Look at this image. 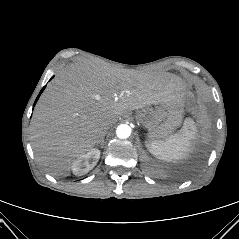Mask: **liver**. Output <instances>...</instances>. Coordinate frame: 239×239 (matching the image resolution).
Instances as JSON below:
<instances>
[{
	"label": "liver",
	"mask_w": 239,
	"mask_h": 239,
	"mask_svg": "<svg viewBox=\"0 0 239 239\" xmlns=\"http://www.w3.org/2000/svg\"><path fill=\"white\" fill-rule=\"evenodd\" d=\"M185 82L172 74L75 64L61 71L41 95L31 121L39 164L65 177L80 155L103 135V122L128 111L183 101Z\"/></svg>",
	"instance_id": "1"
}]
</instances>
